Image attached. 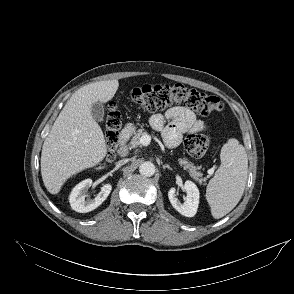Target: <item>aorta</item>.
Listing matches in <instances>:
<instances>
[{"label":"aorta","instance_id":"obj_1","mask_svg":"<svg viewBox=\"0 0 294 294\" xmlns=\"http://www.w3.org/2000/svg\"><path fill=\"white\" fill-rule=\"evenodd\" d=\"M139 172L143 176L151 177L155 174V165L150 161L143 162L139 166Z\"/></svg>","mask_w":294,"mask_h":294}]
</instances>
